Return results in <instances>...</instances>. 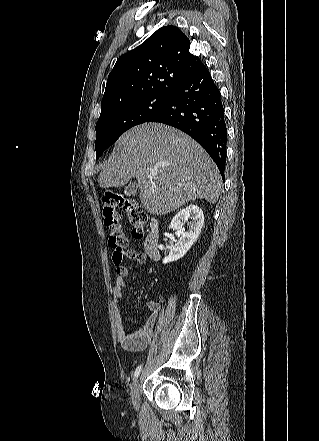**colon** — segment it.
<instances>
[{"instance_id":"colon-1","label":"colon","mask_w":319,"mask_h":441,"mask_svg":"<svg viewBox=\"0 0 319 441\" xmlns=\"http://www.w3.org/2000/svg\"><path fill=\"white\" fill-rule=\"evenodd\" d=\"M118 210L127 215L132 235L137 239L143 236L147 219L143 209L133 199L114 191L105 194L102 216L104 226L108 230V244L113 250L112 259L115 264L121 263L127 245V236L120 223Z\"/></svg>"}]
</instances>
